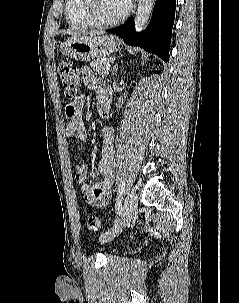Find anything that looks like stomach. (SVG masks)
<instances>
[{
	"label": "stomach",
	"instance_id": "1",
	"mask_svg": "<svg viewBox=\"0 0 239 303\" xmlns=\"http://www.w3.org/2000/svg\"><path fill=\"white\" fill-rule=\"evenodd\" d=\"M118 49L119 44L113 36L71 37L62 45L64 55L80 61L107 58Z\"/></svg>",
	"mask_w": 239,
	"mask_h": 303
}]
</instances>
